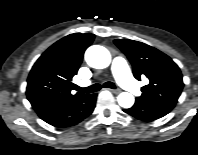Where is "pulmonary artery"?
I'll return each mask as SVG.
<instances>
[{
	"mask_svg": "<svg viewBox=\"0 0 198 155\" xmlns=\"http://www.w3.org/2000/svg\"><path fill=\"white\" fill-rule=\"evenodd\" d=\"M111 71L117 82L125 89L131 92H138L139 87L136 81L132 78L127 62L121 58L116 57L111 62ZM88 83H82L86 86Z\"/></svg>",
	"mask_w": 198,
	"mask_h": 155,
	"instance_id": "e3ab8cb5",
	"label": "pulmonary artery"
}]
</instances>
